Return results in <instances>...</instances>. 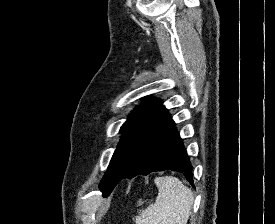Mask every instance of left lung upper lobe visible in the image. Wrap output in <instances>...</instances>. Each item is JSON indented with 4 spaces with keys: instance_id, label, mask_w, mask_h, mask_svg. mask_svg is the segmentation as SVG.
<instances>
[{
    "instance_id": "1",
    "label": "left lung upper lobe",
    "mask_w": 275,
    "mask_h": 224,
    "mask_svg": "<svg viewBox=\"0 0 275 224\" xmlns=\"http://www.w3.org/2000/svg\"><path fill=\"white\" fill-rule=\"evenodd\" d=\"M161 103L145 98V103L131 112L120 129L122 138L101 183L109 178H120L127 172L144 143L169 115Z\"/></svg>"
}]
</instances>
